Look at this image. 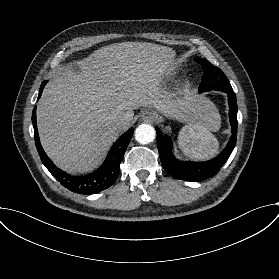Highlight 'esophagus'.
Listing matches in <instances>:
<instances>
[{
    "label": "esophagus",
    "instance_id": "1",
    "mask_svg": "<svg viewBox=\"0 0 279 279\" xmlns=\"http://www.w3.org/2000/svg\"><path fill=\"white\" fill-rule=\"evenodd\" d=\"M142 119L148 122H154L158 118V114L154 110H144L141 115Z\"/></svg>",
    "mask_w": 279,
    "mask_h": 279
}]
</instances>
